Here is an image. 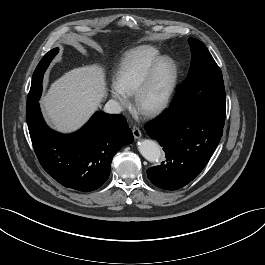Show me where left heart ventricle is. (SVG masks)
<instances>
[{"label":"left heart ventricle","mask_w":265,"mask_h":265,"mask_svg":"<svg viewBox=\"0 0 265 265\" xmlns=\"http://www.w3.org/2000/svg\"><path fill=\"white\" fill-rule=\"evenodd\" d=\"M168 82V69L163 67L147 95L146 103H153L164 93Z\"/></svg>","instance_id":"obj_1"}]
</instances>
